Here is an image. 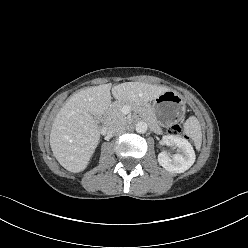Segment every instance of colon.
<instances>
[{
  "label": "colon",
  "instance_id": "colon-1",
  "mask_svg": "<svg viewBox=\"0 0 248 248\" xmlns=\"http://www.w3.org/2000/svg\"><path fill=\"white\" fill-rule=\"evenodd\" d=\"M169 131L172 133V134H175V135H179L182 133V127L180 124H174L172 125L170 128H169Z\"/></svg>",
  "mask_w": 248,
  "mask_h": 248
}]
</instances>
